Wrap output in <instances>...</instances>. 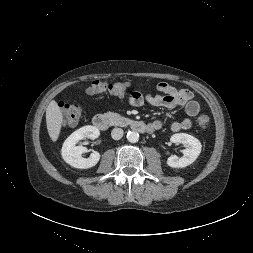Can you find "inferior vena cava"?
Masks as SVG:
<instances>
[{
  "label": "inferior vena cava",
  "mask_w": 253,
  "mask_h": 253,
  "mask_svg": "<svg viewBox=\"0 0 253 253\" xmlns=\"http://www.w3.org/2000/svg\"><path fill=\"white\" fill-rule=\"evenodd\" d=\"M123 130L121 128H114L111 132V136L114 140H119L123 136Z\"/></svg>",
  "instance_id": "obj_1"
}]
</instances>
